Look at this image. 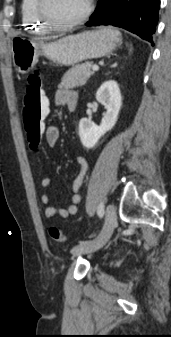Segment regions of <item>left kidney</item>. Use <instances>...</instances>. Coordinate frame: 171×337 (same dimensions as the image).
<instances>
[{"mask_svg":"<svg viewBox=\"0 0 171 337\" xmlns=\"http://www.w3.org/2000/svg\"><path fill=\"white\" fill-rule=\"evenodd\" d=\"M96 99L105 106L107 111L100 126L87 118L80 120L79 137L82 145L86 148H93L99 139L111 130L117 122L122 106V97L117 82L110 80L103 83L96 93Z\"/></svg>","mask_w":171,"mask_h":337,"instance_id":"5707ae66","label":"left kidney"}]
</instances>
